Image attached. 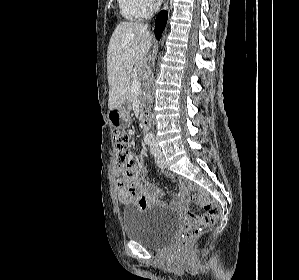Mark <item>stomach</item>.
I'll use <instances>...</instances> for the list:
<instances>
[{
  "label": "stomach",
  "mask_w": 299,
  "mask_h": 280,
  "mask_svg": "<svg viewBox=\"0 0 299 280\" xmlns=\"http://www.w3.org/2000/svg\"><path fill=\"white\" fill-rule=\"evenodd\" d=\"M110 124L116 129H125L130 126L129 106L122 104L108 113Z\"/></svg>",
  "instance_id": "0dacf381"
}]
</instances>
